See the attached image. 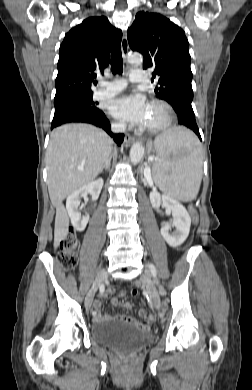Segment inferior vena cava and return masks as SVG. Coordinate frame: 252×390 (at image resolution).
Returning <instances> with one entry per match:
<instances>
[{"label": "inferior vena cava", "instance_id": "obj_1", "mask_svg": "<svg viewBox=\"0 0 252 390\" xmlns=\"http://www.w3.org/2000/svg\"><path fill=\"white\" fill-rule=\"evenodd\" d=\"M111 129L113 132H125L126 130V124L120 123V124H112Z\"/></svg>", "mask_w": 252, "mask_h": 390}]
</instances>
